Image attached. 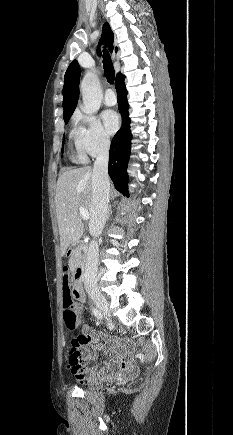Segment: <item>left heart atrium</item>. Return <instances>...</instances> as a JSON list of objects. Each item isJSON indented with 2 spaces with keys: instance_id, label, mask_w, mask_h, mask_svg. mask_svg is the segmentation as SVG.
<instances>
[{
  "instance_id": "39dd6f15",
  "label": "left heart atrium",
  "mask_w": 233,
  "mask_h": 435,
  "mask_svg": "<svg viewBox=\"0 0 233 435\" xmlns=\"http://www.w3.org/2000/svg\"><path fill=\"white\" fill-rule=\"evenodd\" d=\"M103 124L109 133L117 130L119 125L118 115L114 110H105L101 115Z\"/></svg>"
}]
</instances>
